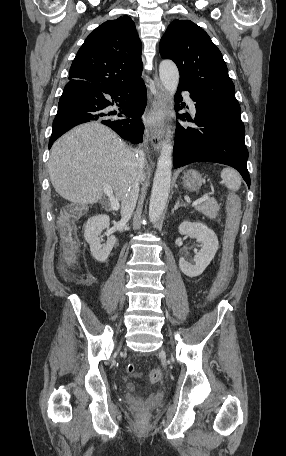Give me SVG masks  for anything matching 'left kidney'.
<instances>
[{
    "label": "left kidney",
    "mask_w": 286,
    "mask_h": 456,
    "mask_svg": "<svg viewBox=\"0 0 286 456\" xmlns=\"http://www.w3.org/2000/svg\"><path fill=\"white\" fill-rule=\"evenodd\" d=\"M181 235H189L202 243L200 251L195 255V264L189 263L183 257L179 259L181 271L188 277H196L203 273L218 250V238L213 230L200 222L184 221L178 227Z\"/></svg>",
    "instance_id": "obj_1"
}]
</instances>
